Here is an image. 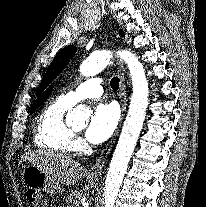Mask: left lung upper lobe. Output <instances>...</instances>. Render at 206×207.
Listing matches in <instances>:
<instances>
[{
    "label": "left lung upper lobe",
    "instance_id": "left-lung-upper-lobe-1",
    "mask_svg": "<svg viewBox=\"0 0 206 207\" xmlns=\"http://www.w3.org/2000/svg\"><path fill=\"white\" fill-rule=\"evenodd\" d=\"M120 35L124 36V32L121 31ZM76 49L75 46H68L57 53L37 90V94L44 90L45 87L63 71L69 60L74 56Z\"/></svg>",
    "mask_w": 206,
    "mask_h": 207
}]
</instances>
